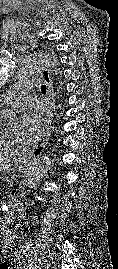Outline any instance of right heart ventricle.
I'll return each instance as SVG.
<instances>
[{"mask_svg": "<svg viewBox=\"0 0 118 269\" xmlns=\"http://www.w3.org/2000/svg\"><path fill=\"white\" fill-rule=\"evenodd\" d=\"M18 151V148L13 146L7 140H4L0 136V153H15Z\"/></svg>", "mask_w": 118, "mask_h": 269, "instance_id": "e07e8e85", "label": "right heart ventricle"}]
</instances>
